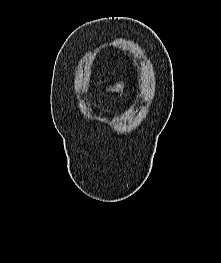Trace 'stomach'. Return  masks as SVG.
Instances as JSON below:
<instances>
[{"label": "stomach", "instance_id": "obj_1", "mask_svg": "<svg viewBox=\"0 0 221 263\" xmlns=\"http://www.w3.org/2000/svg\"><path fill=\"white\" fill-rule=\"evenodd\" d=\"M123 86H124V84H123V82H121V83H118V84H116V85H114L113 87L112 86H110L109 87V89H108V91L110 90V91H112V92H118L119 90H122L123 89Z\"/></svg>", "mask_w": 221, "mask_h": 263}]
</instances>
